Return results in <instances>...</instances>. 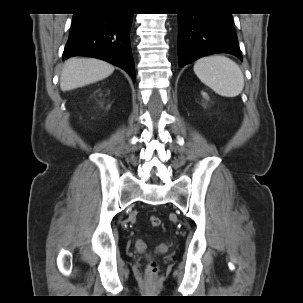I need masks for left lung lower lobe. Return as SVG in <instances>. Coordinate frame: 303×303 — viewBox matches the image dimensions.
<instances>
[{"instance_id": "0a47b994", "label": "left lung lower lobe", "mask_w": 303, "mask_h": 303, "mask_svg": "<svg viewBox=\"0 0 303 303\" xmlns=\"http://www.w3.org/2000/svg\"><path fill=\"white\" fill-rule=\"evenodd\" d=\"M179 66L215 53H228L242 60L230 13L178 14Z\"/></svg>"}]
</instances>
